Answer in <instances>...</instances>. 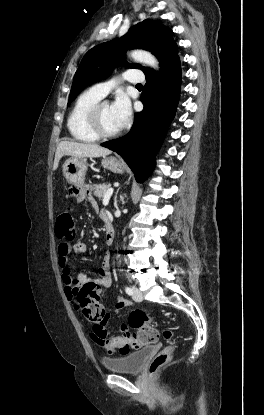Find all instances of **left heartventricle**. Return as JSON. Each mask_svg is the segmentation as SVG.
<instances>
[{"mask_svg":"<svg viewBox=\"0 0 264 415\" xmlns=\"http://www.w3.org/2000/svg\"><path fill=\"white\" fill-rule=\"evenodd\" d=\"M101 126L104 132L113 133L120 129V126L113 114L112 107L105 104L100 112Z\"/></svg>","mask_w":264,"mask_h":415,"instance_id":"obj_1","label":"left heart ventricle"}]
</instances>
